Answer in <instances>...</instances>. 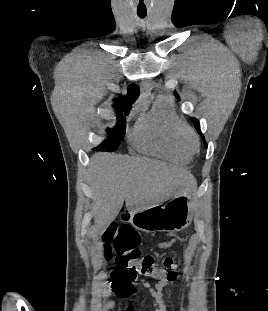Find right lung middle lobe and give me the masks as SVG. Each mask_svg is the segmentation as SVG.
I'll use <instances>...</instances> for the list:
<instances>
[{
	"instance_id": "right-lung-middle-lobe-1",
	"label": "right lung middle lobe",
	"mask_w": 268,
	"mask_h": 311,
	"mask_svg": "<svg viewBox=\"0 0 268 311\" xmlns=\"http://www.w3.org/2000/svg\"><path fill=\"white\" fill-rule=\"evenodd\" d=\"M118 113L119 117L116 126L114 127V129H109L108 134H110V136L107 138V140L103 141L98 147L94 148V150L113 152L120 145L121 137L125 133L126 123L122 113L121 112ZM125 113L128 114V112Z\"/></svg>"
}]
</instances>
